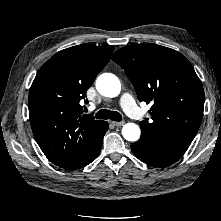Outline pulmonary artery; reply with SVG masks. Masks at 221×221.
Returning <instances> with one entry per match:
<instances>
[{"label":"pulmonary artery","instance_id":"pulmonary-artery-1","mask_svg":"<svg viewBox=\"0 0 221 221\" xmlns=\"http://www.w3.org/2000/svg\"><path fill=\"white\" fill-rule=\"evenodd\" d=\"M121 103L125 109V111L132 117L139 118L141 116V113L136 106V103L132 96L128 93H125L122 96Z\"/></svg>","mask_w":221,"mask_h":221}]
</instances>
